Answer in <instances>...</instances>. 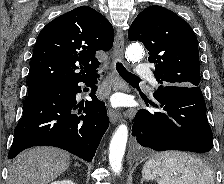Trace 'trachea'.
I'll return each mask as SVG.
<instances>
[{
	"instance_id": "3493384b",
	"label": "trachea",
	"mask_w": 224,
	"mask_h": 184,
	"mask_svg": "<svg viewBox=\"0 0 224 184\" xmlns=\"http://www.w3.org/2000/svg\"><path fill=\"white\" fill-rule=\"evenodd\" d=\"M116 69H117L118 73L120 74V76L123 79H125L126 81H134V80L140 81V78L135 76L134 74L128 72L126 70V68L122 65V63L117 62Z\"/></svg>"
}]
</instances>
